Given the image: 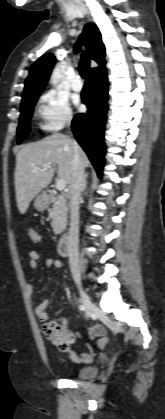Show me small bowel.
<instances>
[{
  "instance_id": "small-bowel-1",
  "label": "small bowel",
  "mask_w": 165,
  "mask_h": 419,
  "mask_svg": "<svg viewBox=\"0 0 165 419\" xmlns=\"http://www.w3.org/2000/svg\"><path fill=\"white\" fill-rule=\"evenodd\" d=\"M39 236V235H38ZM40 240V238H39ZM40 256L38 252L35 250H32L29 252V266L30 268L35 271L38 268ZM45 264L49 268H57V269H63V262L56 258H48L45 261ZM28 291L30 293L33 292V286L32 283H29L28 285ZM49 304L48 299L42 300L34 309L36 315L39 317L41 321H47L49 319V314L46 311ZM64 323H67L64 321ZM70 336L69 339L66 342L59 343L52 339H49V342L52 344V346L59 352H66L69 354L72 360H74L77 363L85 364L89 363L93 359V355L91 353L87 352H78L74 350L71 345L77 338L82 339H93L101 334V328L94 327L86 332H82L76 328L70 327ZM106 342V338H101L99 340V346H103Z\"/></svg>"
}]
</instances>
